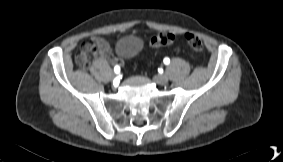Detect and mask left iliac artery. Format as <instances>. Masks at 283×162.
Here are the masks:
<instances>
[{"label": "left iliac artery", "mask_w": 283, "mask_h": 162, "mask_svg": "<svg viewBox=\"0 0 283 162\" xmlns=\"http://www.w3.org/2000/svg\"><path fill=\"white\" fill-rule=\"evenodd\" d=\"M164 63H165L166 65H168V64L170 63V59H169V58H165V59H164Z\"/></svg>", "instance_id": "1"}]
</instances>
